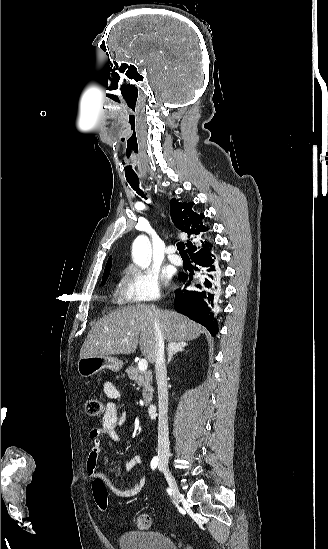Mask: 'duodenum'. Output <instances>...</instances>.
<instances>
[{
  "label": "duodenum",
  "mask_w": 328,
  "mask_h": 549,
  "mask_svg": "<svg viewBox=\"0 0 328 549\" xmlns=\"http://www.w3.org/2000/svg\"><path fill=\"white\" fill-rule=\"evenodd\" d=\"M147 412L150 417H156L157 416V405L154 403H151L147 406Z\"/></svg>",
  "instance_id": "duodenum-1"
}]
</instances>
